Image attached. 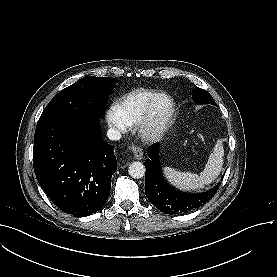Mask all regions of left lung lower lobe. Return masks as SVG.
Listing matches in <instances>:
<instances>
[{"mask_svg": "<svg viewBox=\"0 0 277 277\" xmlns=\"http://www.w3.org/2000/svg\"><path fill=\"white\" fill-rule=\"evenodd\" d=\"M158 154L159 144L155 143L147 149L149 159L145 161V193L156 208L170 215L185 213L203 205L215 195L219 185L197 195L174 190L163 178Z\"/></svg>", "mask_w": 277, "mask_h": 277, "instance_id": "left-lung-lower-lobe-1", "label": "left lung lower lobe"}]
</instances>
